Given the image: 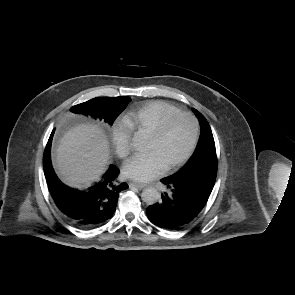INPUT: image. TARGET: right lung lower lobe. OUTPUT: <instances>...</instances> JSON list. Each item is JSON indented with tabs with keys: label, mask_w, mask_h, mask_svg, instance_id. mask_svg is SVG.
I'll use <instances>...</instances> for the list:
<instances>
[{
	"label": "right lung lower lobe",
	"mask_w": 295,
	"mask_h": 295,
	"mask_svg": "<svg viewBox=\"0 0 295 295\" xmlns=\"http://www.w3.org/2000/svg\"><path fill=\"white\" fill-rule=\"evenodd\" d=\"M51 133L43 160L50 157ZM50 193L57 207L69 222L79 228H94L110 219L115 211L119 192L128 185L119 181V169L110 165L102 180L83 191L72 189L62 183L51 168H44Z\"/></svg>",
	"instance_id": "98d812e1"
}]
</instances>
